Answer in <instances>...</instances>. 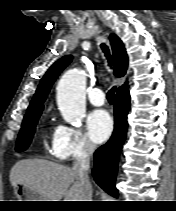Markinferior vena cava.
<instances>
[{
    "mask_svg": "<svg viewBox=\"0 0 176 211\" xmlns=\"http://www.w3.org/2000/svg\"><path fill=\"white\" fill-rule=\"evenodd\" d=\"M94 151L95 146L91 142L86 141L72 167V170L76 174L79 182L85 187L86 190L89 191H91L92 187L88 177V170L90 167V156L94 153ZM84 200L91 201V199Z\"/></svg>",
    "mask_w": 176,
    "mask_h": 211,
    "instance_id": "obj_1",
    "label": "inferior vena cava"
}]
</instances>
